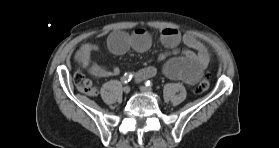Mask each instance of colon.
<instances>
[{
	"label": "colon",
	"mask_w": 279,
	"mask_h": 148,
	"mask_svg": "<svg viewBox=\"0 0 279 148\" xmlns=\"http://www.w3.org/2000/svg\"><path fill=\"white\" fill-rule=\"evenodd\" d=\"M74 83L77 89L87 95L93 96L96 94V89L92 85L91 81L85 78L82 74H76L74 76ZM210 87V81L208 75L202 77V79L198 82L195 87L196 93H203L207 91Z\"/></svg>",
	"instance_id": "5ec220e1"
}]
</instances>
